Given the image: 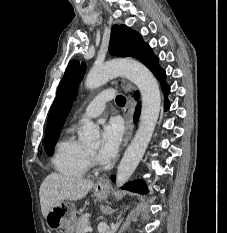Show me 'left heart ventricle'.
I'll list each match as a JSON object with an SVG mask.
<instances>
[{
  "label": "left heart ventricle",
  "instance_id": "1",
  "mask_svg": "<svg viewBox=\"0 0 227 233\" xmlns=\"http://www.w3.org/2000/svg\"><path fill=\"white\" fill-rule=\"evenodd\" d=\"M96 150H97V148L96 147H94V148H90L88 151H90L91 153H95L96 152Z\"/></svg>",
  "mask_w": 227,
  "mask_h": 233
}]
</instances>
